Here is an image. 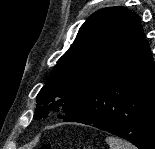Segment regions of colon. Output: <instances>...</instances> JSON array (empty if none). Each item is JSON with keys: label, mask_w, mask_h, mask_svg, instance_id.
I'll return each mask as SVG.
<instances>
[{"label": "colon", "mask_w": 155, "mask_h": 149, "mask_svg": "<svg viewBox=\"0 0 155 149\" xmlns=\"http://www.w3.org/2000/svg\"><path fill=\"white\" fill-rule=\"evenodd\" d=\"M39 149H53V145L51 143H43L40 145Z\"/></svg>", "instance_id": "obj_1"}]
</instances>
